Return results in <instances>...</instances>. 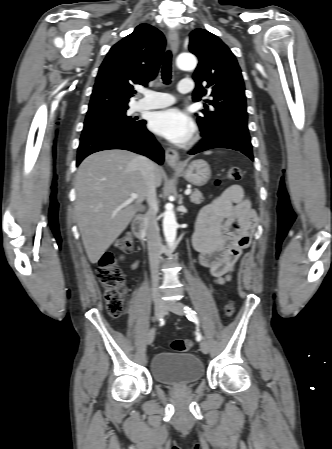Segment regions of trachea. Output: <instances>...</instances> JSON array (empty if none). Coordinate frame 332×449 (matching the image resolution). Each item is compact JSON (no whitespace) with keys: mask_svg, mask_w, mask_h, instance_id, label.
Segmentation results:
<instances>
[{"mask_svg":"<svg viewBox=\"0 0 332 449\" xmlns=\"http://www.w3.org/2000/svg\"><path fill=\"white\" fill-rule=\"evenodd\" d=\"M171 73H172V54L168 51L163 60L161 76L164 84H169L171 81Z\"/></svg>","mask_w":332,"mask_h":449,"instance_id":"obj_1","label":"trachea"}]
</instances>
